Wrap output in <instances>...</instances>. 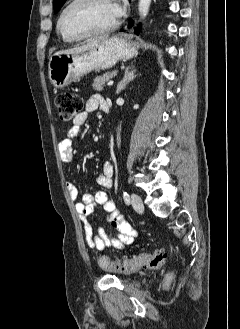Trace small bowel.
Here are the masks:
<instances>
[{"label":"small bowel","instance_id":"small-bowel-1","mask_svg":"<svg viewBox=\"0 0 240 329\" xmlns=\"http://www.w3.org/2000/svg\"><path fill=\"white\" fill-rule=\"evenodd\" d=\"M105 102L107 101L98 94L92 95L88 99L85 104L84 111L75 118L72 126L67 131L66 138L61 140L58 144V151L63 163L71 164L75 160L73 139L85 126L89 115L98 108L102 109ZM113 176V164L110 162H105L101 167L100 173L96 177V182L103 188H111L113 186ZM67 189L70 198L73 201H76L78 197V190L76 187L72 183H67ZM96 208H99L108 214V222L116 230V232H109L103 227H99L97 232H94L88 218ZM75 209L83 223L86 244L92 249H123L126 245L131 244L137 236L136 230L126 220V217L119 211L116 203L108 198L105 191L84 193L81 201L75 202Z\"/></svg>","mask_w":240,"mask_h":329}]
</instances>
